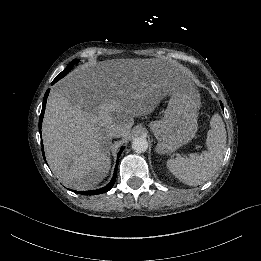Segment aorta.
<instances>
[{
    "instance_id": "1",
    "label": "aorta",
    "mask_w": 261,
    "mask_h": 261,
    "mask_svg": "<svg viewBox=\"0 0 261 261\" xmlns=\"http://www.w3.org/2000/svg\"><path fill=\"white\" fill-rule=\"evenodd\" d=\"M132 149L136 153H144L148 149V140L144 136H139L131 142Z\"/></svg>"
}]
</instances>
